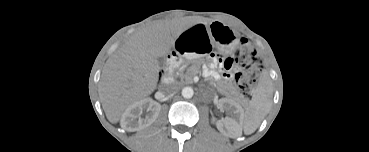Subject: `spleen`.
Returning a JSON list of instances; mask_svg holds the SVG:
<instances>
[{
	"label": "spleen",
	"instance_id": "1",
	"mask_svg": "<svg viewBox=\"0 0 369 152\" xmlns=\"http://www.w3.org/2000/svg\"><path fill=\"white\" fill-rule=\"evenodd\" d=\"M273 90L270 81L264 77L255 90V93L246 109L243 121L244 130L255 131L263 118L269 112L272 102Z\"/></svg>",
	"mask_w": 369,
	"mask_h": 152
}]
</instances>
